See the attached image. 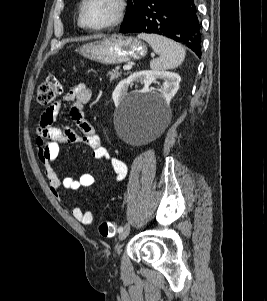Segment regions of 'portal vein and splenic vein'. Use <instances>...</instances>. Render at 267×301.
Here are the masks:
<instances>
[{"label":"portal vein and splenic vein","instance_id":"1","mask_svg":"<svg viewBox=\"0 0 267 301\" xmlns=\"http://www.w3.org/2000/svg\"><path fill=\"white\" fill-rule=\"evenodd\" d=\"M131 68H132V66H130V65H125V66H123V69H124L125 71H129Z\"/></svg>","mask_w":267,"mask_h":301}]
</instances>
